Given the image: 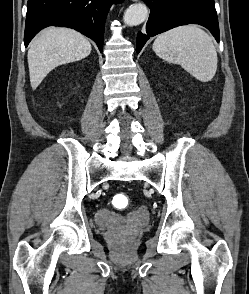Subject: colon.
<instances>
[{
  "instance_id": "5ec220e1",
  "label": "colon",
  "mask_w": 249,
  "mask_h": 294,
  "mask_svg": "<svg viewBox=\"0 0 249 294\" xmlns=\"http://www.w3.org/2000/svg\"><path fill=\"white\" fill-rule=\"evenodd\" d=\"M113 202L117 206L127 207L130 203V200L127 195L118 194L113 198Z\"/></svg>"
}]
</instances>
